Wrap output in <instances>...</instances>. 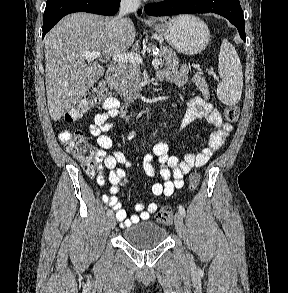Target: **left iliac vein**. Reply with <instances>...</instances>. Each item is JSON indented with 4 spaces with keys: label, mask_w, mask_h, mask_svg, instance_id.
I'll return each mask as SVG.
<instances>
[{
    "label": "left iliac vein",
    "mask_w": 288,
    "mask_h": 293,
    "mask_svg": "<svg viewBox=\"0 0 288 293\" xmlns=\"http://www.w3.org/2000/svg\"><path fill=\"white\" fill-rule=\"evenodd\" d=\"M175 227H176V231L179 235H182L183 232V219H182V215L180 213H176L175 214Z\"/></svg>",
    "instance_id": "obj_1"
}]
</instances>
